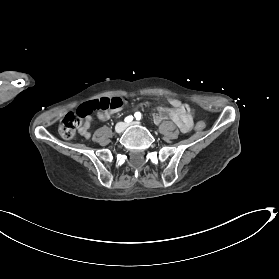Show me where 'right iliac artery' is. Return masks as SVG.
Wrapping results in <instances>:
<instances>
[{
    "label": "right iliac artery",
    "instance_id": "obj_1",
    "mask_svg": "<svg viewBox=\"0 0 279 279\" xmlns=\"http://www.w3.org/2000/svg\"><path fill=\"white\" fill-rule=\"evenodd\" d=\"M133 120V116L129 115L125 118V122L130 123Z\"/></svg>",
    "mask_w": 279,
    "mask_h": 279
}]
</instances>
